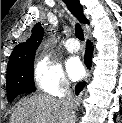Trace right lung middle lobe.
Returning <instances> with one entry per match:
<instances>
[{"mask_svg": "<svg viewBox=\"0 0 122 123\" xmlns=\"http://www.w3.org/2000/svg\"><path fill=\"white\" fill-rule=\"evenodd\" d=\"M34 58L28 59L20 65L7 70V96L11 102L16 96L23 93H31L34 88L33 66Z\"/></svg>", "mask_w": 122, "mask_h": 123, "instance_id": "obj_1", "label": "right lung middle lobe"}]
</instances>
